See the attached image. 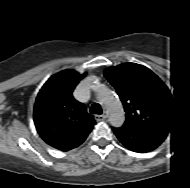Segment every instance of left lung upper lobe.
I'll list each match as a JSON object with an SVG mask.
<instances>
[{"mask_svg": "<svg viewBox=\"0 0 190 188\" xmlns=\"http://www.w3.org/2000/svg\"><path fill=\"white\" fill-rule=\"evenodd\" d=\"M104 76L116 89L126 112L124 124L168 132L173 123V102L169 90L148 68L135 63L109 67Z\"/></svg>", "mask_w": 190, "mask_h": 188, "instance_id": "left-lung-upper-lobe-1", "label": "left lung upper lobe"}]
</instances>
